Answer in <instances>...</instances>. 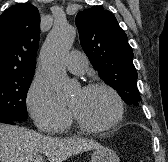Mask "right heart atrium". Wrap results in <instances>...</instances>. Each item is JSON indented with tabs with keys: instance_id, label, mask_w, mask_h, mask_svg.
Returning a JSON list of instances; mask_svg holds the SVG:
<instances>
[{
	"instance_id": "obj_1",
	"label": "right heart atrium",
	"mask_w": 168,
	"mask_h": 162,
	"mask_svg": "<svg viewBox=\"0 0 168 162\" xmlns=\"http://www.w3.org/2000/svg\"><path fill=\"white\" fill-rule=\"evenodd\" d=\"M28 112L37 128L46 133H58L70 123V113L57 99L52 88L42 80H34L27 94Z\"/></svg>"
}]
</instances>
